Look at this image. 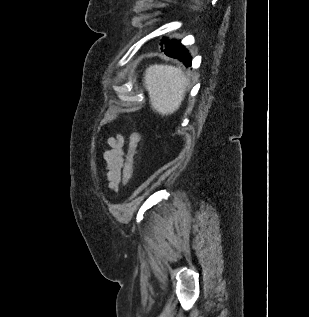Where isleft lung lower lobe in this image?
<instances>
[{"mask_svg":"<svg viewBox=\"0 0 309 317\" xmlns=\"http://www.w3.org/2000/svg\"><path fill=\"white\" fill-rule=\"evenodd\" d=\"M163 52L167 56L182 61L186 66H191V56L180 41L172 40L165 44Z\"/></svg>","mask_w":309,"mask_h":317,"instance_id":"obj_1","label":"left lung lower lobe"}]
</instances>
